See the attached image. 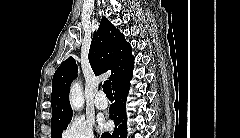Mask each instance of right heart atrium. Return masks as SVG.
<instances>
[{
  "label": "right heart atrium",
  "mask_w": 240,
  "mask_h": 138,
  "mask_svg": "<svg viewBox=\"0 0 240 138\" xmlns=\"http://www.w3.org/2000/svg\"><path fill=\"white\" fill-rule=\"evenodd\" d=\"M62 138H94L91 122L82 117H74L64 127Z\"/></svg>",
  "instance_id": "obj_1"
}]
</instances>
